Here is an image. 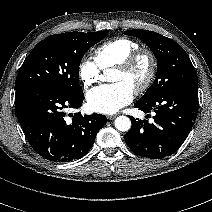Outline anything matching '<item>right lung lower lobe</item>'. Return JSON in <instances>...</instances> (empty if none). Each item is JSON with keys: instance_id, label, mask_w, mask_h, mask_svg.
Masks as SVG:
<instances>
[{"instance_id": "1", "label": "right lung lower lobe", "mask_w": 212, "mask_h": 212, "mask_svg": "<svg viewBox=\"0 0 212 212\" xmlns=\"http://www.w3.org/2000/svg\"><path fill=\"white\" fill-rule=\"evenodd\" d=\"M84 94L69 96L50 87H26L16 90L15 111L31 147L43 158L68 162L83 157L95 142L97 132L106 124L102 114H71L66 108H79Z\"/></svg>"}]
</instances>
